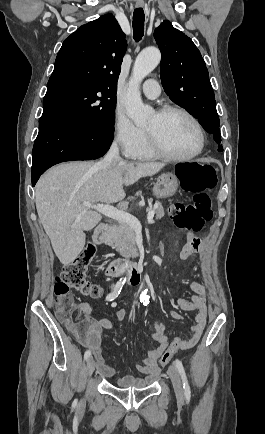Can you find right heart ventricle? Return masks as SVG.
Here are the masks:
<instances>
[{
	"instance_id": "e07e8e85",
	"label": "right heart ventricle",
	"mask_w": 265,
	"mask_h": 434,
	"mask_svg": "<svg viewBox=\"0 0 265 434\" xmlns=\"http://www.w3.org/2000/svg\"><path fill=\"white\" fill-rule=\"evenodd\" d=\"M156 157L157 156L155 155V153L153 152L150 146L149 138L147 135V141L146 144L143 146V149H139L137 154H133L132 159L139 160V161H148V160H153Z\"/></svg>"
}]
</instances>
